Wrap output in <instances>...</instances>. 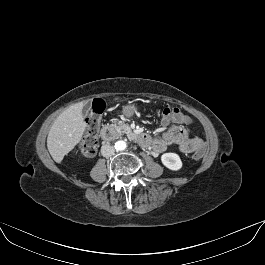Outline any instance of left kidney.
Instances as JSON below:
<instances>
[{"label": "left kidney", "mask_w": 265, "mask_h": 265, "mask_svg": "<svg viewBox=\"0 0 265 265\" xmlns=\"http://www.w3.org/2000/svg\"><path fill=\"white\" fill-rule=\"evenodd\" d=\"M161 161L165 167L173 171H177L182 167V161L176 153H164L161 156Z\"/></svg>", "instance_id": "obj_1"}]
</instances>
